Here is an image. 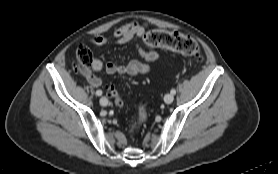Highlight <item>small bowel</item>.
I'll return each instance as SVG.
<instances>
[{"instance_id":"obj_1","label":"small bowel","mask_w":278,"mask_h":174,"mask_svg":"<svg viewBox=\"0 0 278 174\" xmlns=\"http://www.w3.org/2000/svg\"><path fill=\"white\" fill-rule=\"evenodd\" d=\"M145 32L146 25L144 23L132 22L117 28L110 36L97 35L91 38L90 42L95 46H104L110 42L125 44L134 38L144 37ZM136 51L141 60H132L126 65L113 62L104 65L100 59H95L91 64V68H79L78 72L95 88L99 87L102 83L97 73L103 69L108 74H127L130 76L146 74L150 71V64L158 61L159 55L155 51H146L139 45L136 46Z\"/></svg>"}]
</instances>
